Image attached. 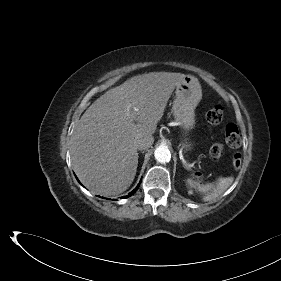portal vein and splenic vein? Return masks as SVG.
I'll return each mask as SVG.
<instances>
[{"mask_svg": "<svg viewBox=\"0 0 281 281\" xmlns=\"http://www.w3.org/2000/svg\"><path fill=\"white\" fill-rule=\"evenodd\" d=\"M187 166H188V167H193L194 165H193V164H188Z\"/></svg>", "mask_w": 281, "mask_h": 281, "instance_id": "obj_1", "label": "portal vein and splenic vein"}]
</instances>
